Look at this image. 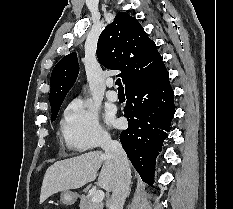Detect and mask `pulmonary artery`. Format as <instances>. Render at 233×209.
I'll use <instances>...</instances> for the list:
<instances>
[{"label":"pulmonary artery","instance_id":"pulmonary-artery-1","mask_svg":"<svg viewBox=\"0 0 233 209\" xmlns=\"http://www.w3.org/2000/svg\"><path fill=\"white\" fill-rule=\"evenodd\" d=\"M114 86V81L113 80H108L107 81V87L109 88L106 92V97L110 101H117L118 100V94L116 91H114L112 88Z\"/></svg>","mask_w":233,"mask_h":209}]
</instances>
